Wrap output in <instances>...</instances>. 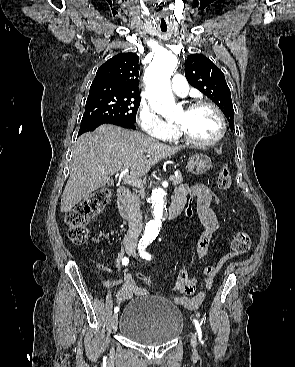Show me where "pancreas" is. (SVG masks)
Masks as SVG:
<instances>
[{"instance_id": "pancreas-1", "label": "pancreas", "mask_w": 295, "mask_h": 367, "mask_svg": "<svg viewBox=\"0 0 295 367\" xmlns=\"http://www.w3.org/2000/svg\"><path fill=\"white\" fill-rule=\"evenodd\" d=\"M182 182H183V178L181 174L174 176V179L172 180V184L175 186L181 184ZM140 194L143 196L144 192L140 190Z\"/></svg>"}]
</instances>
